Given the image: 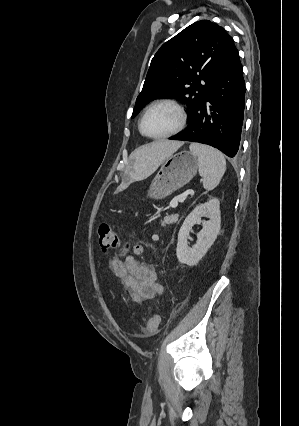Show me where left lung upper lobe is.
I'll list each match as a JSON object with an SVG mask.
<instances>
[{"label": "left lung upper lobe", "instance_id": "5c2ea615", "mask_svg": "<svg viewBox=\"0 0 299 426\" xmlns=\"http://www.w3.org/2000/svg\"><path fill=\"white\" fill-rule=\"evenodd\" d=\"M236 50L233 38L223 27L209 20L191 24L164 43L153 57L132 117L154 99L175 98L190 108V119Z\"/></svg>", "mask_w": 299, "mask_h": 426}]
</instances>
